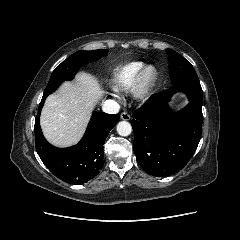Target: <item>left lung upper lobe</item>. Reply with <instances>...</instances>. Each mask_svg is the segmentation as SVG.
<instances>
[{"instance_id": "left-lung-upper-lobe-1", "label": "left lung upper lobe", "mask_w": 240, "mask_h": 240, "mask_svg": "<svg viewBox=\"0 0 240 240\" xmlns=\"http://www.w3.org/2000/svg\"><path fill=\"white\" fill-rule=\"evenodd\" d=\"M170 59V77L173 84L200 83L193 66L179 53L172 49H166Z\"/></svg>"}]
</instances>
